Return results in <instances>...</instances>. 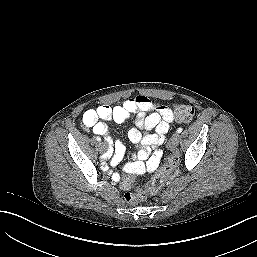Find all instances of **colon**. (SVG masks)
<instances>
[{
	"label": "colon",
	"mask_w": 257,
	"mask_h": 257,
	"mask_svg": "<svg viewBox=\"0 0 257 257\" xmlns=\"http://www.w3.org/2000/svg\"><path fill=\"white\" fill-rule=\"evenodd\" d=\"M174 114L176 120L181 123H189L193 120L195 110L190 105L177 104L174 107ZM178 163V158L170 156L166 163L160 168V170L151 178L146 186L138 185L133 193H127L125 199L127 201H140L145 197L146 191L149 193H157L163 187L166 178L170 175L174 167ZM123 183L130 185L132 179L130 176H125Z\"/></svg>",
	"instance_id": "obj_1"
}]
</instances>
